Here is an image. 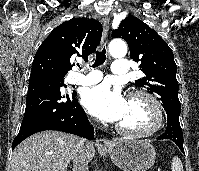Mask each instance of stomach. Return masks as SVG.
Listing matches in <instances>:
<instances>
[{
  "label": "stomach",
  "instance_id": "stomach-1",
  "mask_svg": "<svg viewBox=\"0 0 199 171\" xmlns=\"http://www.w3.org/2000/svg\"><path fill=\"white\" fill-rule=\"evenodd\" d=\"M102 150L123 171H147L156 159L154 147L142 139H117Z\"/></svg>",
  "mask_w": 199,
  "mask_h": 171
}]
</instances>
